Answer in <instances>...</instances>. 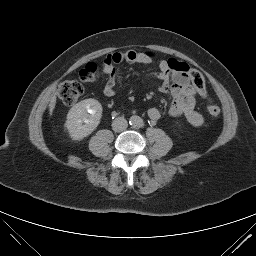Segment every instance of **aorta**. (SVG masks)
<instances>
[{
  "label": "aorta",
  "instance_id": "aorta-1",
  "mask_svg": "<svg viewBox=\"0 0 256 256\" xmlns=\"http://www.w3.org/2000/svg\"><path fill=\"white\" fill-rule=\"evenodd\" d=\"M129 123L132 126H139L142 123V119L139 116L134 115L130 117Z\"/></svg>",
  "mask_w": 256,
  "mask_h": 256
}]
</instances>
